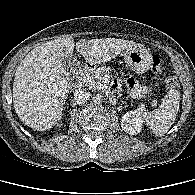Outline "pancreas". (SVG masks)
<instances>
[{
    "label": "pancreas",
    "mask_w": 195,
    "mask_h": 195,
    "mask_svg": "<svg viewBox=\"0 0 195 195\" xmlns=\"http://www.w3.org/2000/svg\"><path fill=\"white\" fill-rule=\"evenodd\" d=\"M111 71L108 67H101L94 71L88 72L82 76V85L92 90L102 89L103 84L101 83L104 75H107Z\"/></svg>",
    "instance_id": "1"
}]
</instances>
